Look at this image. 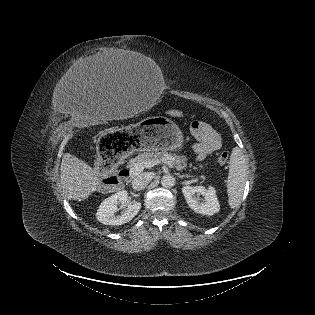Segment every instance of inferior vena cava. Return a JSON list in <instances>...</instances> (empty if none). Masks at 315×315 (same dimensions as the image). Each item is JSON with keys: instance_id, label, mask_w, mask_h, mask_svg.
Masks as SVG:
<instances>
[{"instance_id": "inferior-vena-cava-1", "label": "inferior vena cava", "mask_w": 315, "mask_h": 315, "mask_svg": "<svg viewBox=\"0 0 315 315\" xmlns=\"http://www.w3.org/2000/svg\"><path fill=\"white\" fill-rule=\"evenodd\" d=\"M152 180L150 173H142L132 181V188L136 191L143 190Z\"/></svg>"}]
</instances>
